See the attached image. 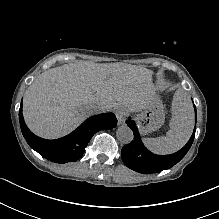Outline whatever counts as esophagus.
Here are the masks:
<instances>
[{
  "instance_id": "34e87169",
  "label": "esophagus",
  "mask_w": 219,
  "mask_h": 219,
  "mask_svg": "<svg viewBox=\"0 0 219 219\" xmlns=\"http://www.w3.org/2000/svg\"><path fill=\"white\" fill-rule=\"evenodd\" d=\"M115 115L118 120V124H123L125 122V117H126V111L123 108H118L115 111Z\"/></svg>"
}]
</instances>
